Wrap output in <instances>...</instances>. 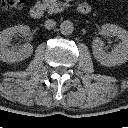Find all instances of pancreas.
<instances>
[{
    "label": "pancreas",
    "instance_id": "pancreas-1",
    "mask_svg": "<svg viewBox=\"0 0 128 128\" xmlns=\"http://www.w3.org/2000/svg\"><path fill=\"white\" fill-rule=\"evenodd\" d=\"M43 4L49 14L61 12L69 6L68 3H62L58 0H43Z\"/></svg>",
    "mask_w": 128,
    "mask_h": 128
}]
</instances>
